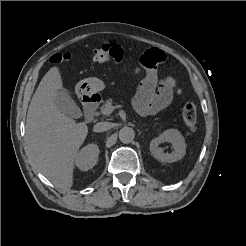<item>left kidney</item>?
<instances>
[{
	"instance_id": "obj_1",
	"label": "left kidney",
	"mask_w": 246,
	"mask_h": 246,
	"mask_svg": "<svg viewBox=\"0 0 246 246\" xmlns=\"http://www.w3.org/2000/svg\"><path fill=\"white\" fill-rule=\"evenodd\" d=\"M171 143L173 151L164 153L163 148L159 147L162 143ZM151 154L162 162H176L186 154V144L183 136L177 129H168L150 142Z\"/></svg>"
}]
</instances>
